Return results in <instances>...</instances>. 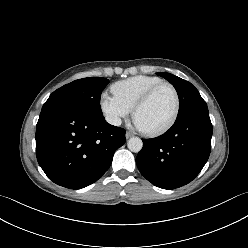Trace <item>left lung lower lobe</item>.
Returning <instances> with one entry per match:
<instances>
[{
    "instance_id": "0a47b994",
    "label": "left lung lower lobe",
    "mask_w": 248,
    "mask_h": 248,
    "mask_svg": "<svg viewBox=\"0 0 248 248\" xmlns=\"http://www.w3.org/2000/svg\"><path fill=\"white\" fill-rule=\"evenodd\" d=\"M212 124L202 107L176 119L163 135L142 139L136 157L141 174L153 185L175 189L191 182L202 170L211 151Z\"/></svg>"
}]
</instances>
